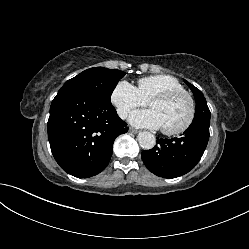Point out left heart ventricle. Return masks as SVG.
<instances>
[{
    "instance_id": "left-heart-ventricle-1",
    "label": "left heart ventricle",
    "mask_w": 249,
    "mask_h": 249,
    "mask_svg": "<svg viewBox=\"0 0 249 249\" xmlns=\"http://www.w3.org/2000/svg\"><path fill=\"white\" fill-rule=\"evenodd\" d=\"M159 117L162 128L176 129L184 124L189 114L186 98L180 97L169 102H154L150 106Z\"/></svg>"
}]
</instances>
